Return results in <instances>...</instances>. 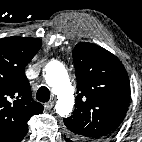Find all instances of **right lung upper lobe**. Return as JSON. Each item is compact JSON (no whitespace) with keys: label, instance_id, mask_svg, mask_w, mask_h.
I'll list each match as a JSON object with an SVG mask.
<instances>
[{"label":"right lung upper lobe","instance_id":"obj_1","mask_svg":"<svg viewBox=\"0 0 142 142\" xmlns=\"http://www.w3.org/2000/svg\"><path fill=\"white\" fill-rule=\"evenodd\" d=\"M41 47V40L27 37L0 39V142H20L28 120L43 112L33 101L25 66Z\"/></svg>","mask_w":142,"mask_h":142}]
</instances>
